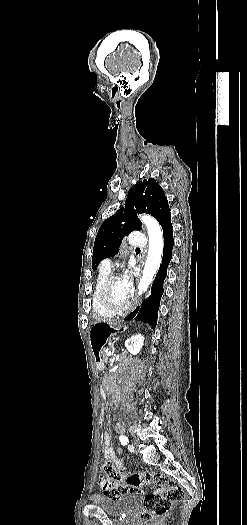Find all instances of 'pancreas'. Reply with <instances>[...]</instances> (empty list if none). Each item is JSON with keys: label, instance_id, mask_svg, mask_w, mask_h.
I'll return each mask as SVG.
<instances>
[{"label": "pancreas", "instance_id": "1", "mask_svg": "<svg viewBox=\"0 0 247 525\" xmlns=\"http://www.w3.org/2000/svg\"><path fill=\"white\" fill-rule=\"evenodd\" d=\"M105 353H106V350H103L102 355L100 356V359H101L102 361H106V360L108 359V358H107V354H105Z\"/></svg>", "mask_w": 247, "mask_h": 525}]
</instances>
